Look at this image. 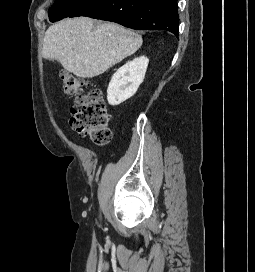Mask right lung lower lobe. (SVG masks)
I'll use <instances>...</instances> for the list:
<instances>
[{
	"label": "right lung lower lobe",
	"mask_w": 255,
	"mask_h": 272,
	"mask_svg": "<svg viewBox=\"0 0 255 272\" xmlns=\"http://www.w3.org/2000/svg\"><path fill=\"white\" fill-rule=\"evenodd\" d=\"M88 16L141 30H167L178 37L177 0H90L68 17Z\"/></svg>",
	"instance_id": "1"
}]
</instances>
